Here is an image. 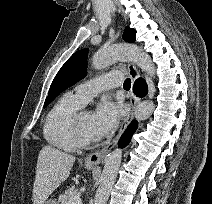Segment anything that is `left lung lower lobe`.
<instances>
[{
    "label": "left lung lower lobe",
    "mask_w": 212,
    "mask_h": 204,
    "mask_svg": "<svg viewBox=\"0 0 212 204\" xmlns=\"http://www.w3.org/2000/svg\"><path fill=\"white\" fill-rule=\"evenodd\" d=\"M137 122L136 121H132L129 126L127 127V129L125 130V132L123 133L122 137L119 140V147L123 148L125 146H127L131 140L132 135L134 134V132L137 129Z\"/></svg>",
    "instance_id": "left-lung-lower-lobe-1"
}]
</instances>
